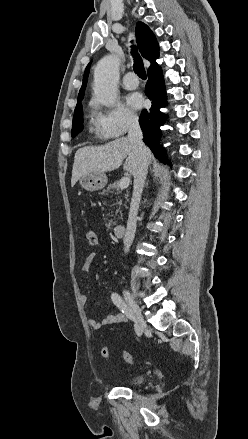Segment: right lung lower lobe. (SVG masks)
Masks as SVG:
<instances>
[{
	"mask_svg": "<svg viewBox=\"0 0 248 439\" xmlns=\"http://www.w3.org/2000/svg\"><path fill=\"white\" fill-rule=\"evenodd\" d=\"M145 92L152 101V106L149 110L144 109L139 118L144 135L143 141L158 159L164 163H169L163 155V149L160 147L161 131L159 127L166 121L167 116L160 111V108L166 105V92L159 66L149 69Z\"/></svg>",
	"mask_w": 248,
	"mask_h": 439,
	"instance_id": "1",
	"label": "right lung lower lobe"
}]
</instances>
